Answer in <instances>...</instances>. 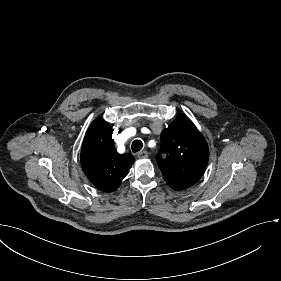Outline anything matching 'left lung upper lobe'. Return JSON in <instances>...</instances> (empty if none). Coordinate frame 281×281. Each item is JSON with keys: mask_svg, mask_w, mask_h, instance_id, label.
<instances>
[{"mask_svg": "<svg viewBox=\"0 0 281 281\" xmlns=\"http://www.w3.org/2000/svg\"><path fill=\"white\" fill-rule=\"evenodd\" d=\"M161 151L157 162L166 183L174 190H184L195 184L203 175L208 163L209 150L203 135L184 114L161 133Z\"/></svg>", "mask_w": 281, "mask_h": 281, "instance_id": "1", "label": "left lung upper lobe"}]
</instances>
